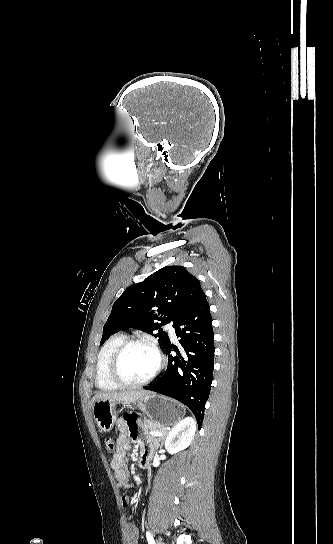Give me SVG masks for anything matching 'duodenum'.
I'll list each match as a JSON object with an SVG mask.
<instances>
[{
    "label": "duodenum",
    "instance_id": "1",
    "mask_svg": "<svg viewBox=\"0 0 333 544\" xmlns=\"http://www.w3.org/2000/svg\"><path fill=\"white\" fill-rule=\"evenodd\" d=\"M138 463L140 468H146L149 463V455L147 453L141 452Z\"/></svg>",
    "mask_w": 333,
    "mask_h": 544
}]
</instances>
